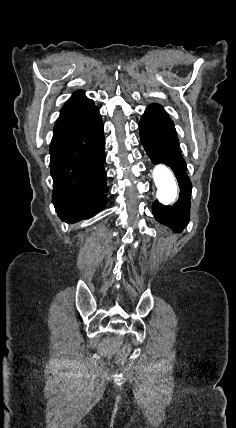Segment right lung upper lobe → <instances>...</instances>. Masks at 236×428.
Returning a JSON list of instances; mask_svg holds the SVG:
<instances>
[{
  "label": "right lung upper lobe",
  "instance_id": "1",
  "mask_svg": "<svg viewBox=\"0 0 236 428\" xmlns=\"http://www.w3.org/2000/svg\"><path fill=\"white\" fill-rule=\"evenodd\" d=\"M93 101L88 99L83 91L75 92L72 97L66 102L61 111L72 110V109H81L89 106H93Z\"/></svg>",
  "mask_w": 236,
  "mask_h": 428
}]
</instances>
